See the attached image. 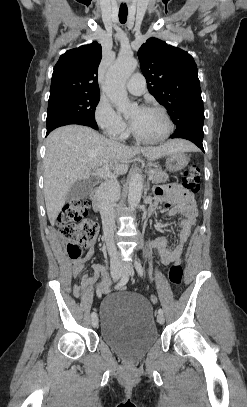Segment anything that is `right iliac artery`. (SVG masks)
<instances>
[{
    "mask_svg": "<svg viewBox=\"0 0 247 407\" xmlns=\"http://www.w3.org/2000/svg\"><path fill=\"white\" fill-rule=\"evenodd\" d=\"M128 280H129V273L125 272L123 274V276L121 277L119 283L115 286V289L123 287L128 282ZM96 316H97L96 312L91 313L92 318H95Z\"/></svg>",
    "mask_w": 247,
    "mask_h": 407,
    "instance_id": "82829eb1",
    "label": "right iliac artery"
}]
</instances>
